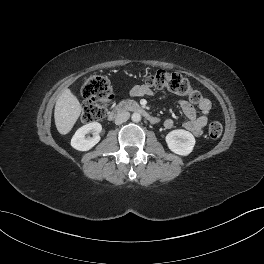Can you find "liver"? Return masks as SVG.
<instances>
[{
    "label": "liver",
    "instance_id": "1",
    "mask_svg": "<svg viewBox=\"0 0 264 264\" xmlns=\"http://www.w3.org/2000/svg\"><path fill=\"white\" fill-rule=\"evenodd\" d=\"M82 107L70 89H65L58 97L54 110L55 125L62 135L68 134L80 116Z\"/></svg>",
    "mask_w": 264,
    "mask_h": 264
}]
</instances>
